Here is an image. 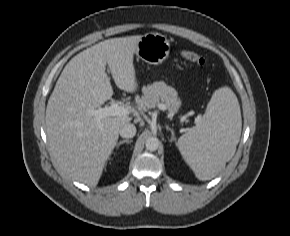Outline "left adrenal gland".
<instances>
[{
    "mask_svg": "<svg viewBox=\"0 0 290 236\" xmlns=\"http://www.w3.org/2000/svg\"><path fill=\"white\" fill-rule=\"evenodd\" d=\"M166 129L169 130V131L171 132V139H170V142L176 141L175 133H174L173 129H171L168 125H166Z\"/></svg>",
    "mask_w": 290,
    "mask_h": 236,
    "instance_id": "a2214340",
    "label": "left adrenal gland"
}]
</instances>
